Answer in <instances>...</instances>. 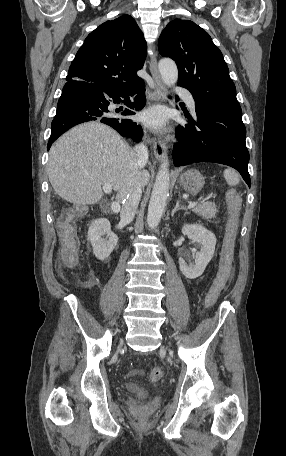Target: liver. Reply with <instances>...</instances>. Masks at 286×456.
Listing matches in <instances>:
<instances>
[{"label": "liver", "instance_id": "obj_1", "mask_svg": "<svg viewBox=\"0 0 286 456\" xmlns=\"http://www.w3.org/2000/svg\"><path fill=\"white\" fill-rule=\"evenodd\" d=\"M138 156L112 128L99 122L78 125L62 135L51 147L47 174L54 191L77 205H93L109 183L123 201L134 179L142 186L149 180L138 167Z\"/></svg>", "mask_w": 286, "mask_h": 456}]
</instances>
